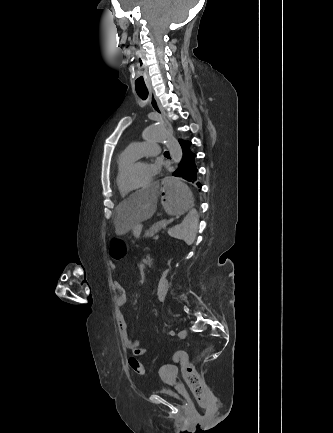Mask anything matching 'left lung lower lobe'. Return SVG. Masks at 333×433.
Segmentation results:
<instances>
[{"label":"left lung lower lobe","instance_id":"1","mask_svg":"<svg viewBox=\"0 0 333 433\" xmlns=\"http://www.w3.org/2000/svg\"><path fill=\"white\" fill-rule=\"evenodd\" d=\"M179 142L182 147V158L176 171L173 172V175L185 179L191 185H198L196 154L192 148V142L188 140H179Z\"/></svg>","mask_w":333,"mask_h":433}]
</instances>
